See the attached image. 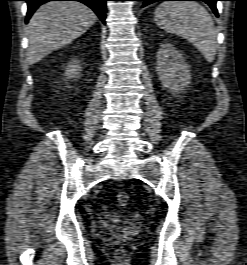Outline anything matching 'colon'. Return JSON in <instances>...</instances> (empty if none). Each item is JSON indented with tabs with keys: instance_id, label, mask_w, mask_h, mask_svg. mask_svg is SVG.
Segmentation results:
<instances>
[{
	"instance_id": "obj_1",
	"label": "colon",
	"mask_w": 247,
	"mask_h": 265,
	"mask_svg": "<svg viewBox=\"0 0 247 265\" xmlns=\"http://www.w3.org/2000/svg\"><path fill=\"white\" fill-rule=\"evenodd\" d=\"M117 202L120 206L125 207L130 203V195L127 191L122 190L117 194ZM122 250L120 249V252Z\"/></svg>"
}]
</instances>
